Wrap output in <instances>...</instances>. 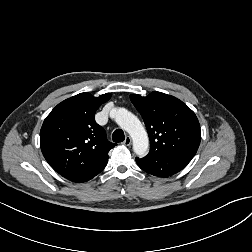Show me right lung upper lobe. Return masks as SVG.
I'll return each instance as SVG.
<instances>
[{"mask_svg":"<svg viewBox=\"0 0 252 252\" xmlns=\"http://www.w3.org/2000/svg\"><path fill=\"white\" fill-rule=\"evenodd\" d=\"M110 93L93 97L80 93L59 103L46 117L40 131V146L49 165L69 179L106 166L108 152L116 146L95 122L97 109Z\"/></svg>","mask_w":252,"mask_h":252,"instance_id":"right-lung-upper-lobe-1","label":"right lung upper lobe"}]
</instances>
